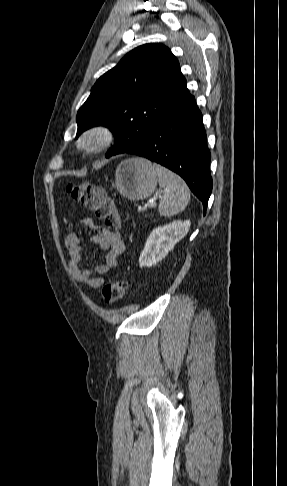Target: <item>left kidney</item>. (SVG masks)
Here are the masks:
<instances>
[{
  "label": "left kidney",
  "mask_w": 287,
  "mask_h": 486,
  "mask_svg": "<svg viewBox=\"0 0 287 486\" xmlns=\"http://www.w3.org/2000/svg\"><path fill=\"white\" fill-rule=\"evenodd\" d=\"M191 222L173 221L155 228L149 235L139 257L140 267H151L160 262L189 231Z\"/></svg>",
  "instance_id": "5707ae66"
}]
</instances>
